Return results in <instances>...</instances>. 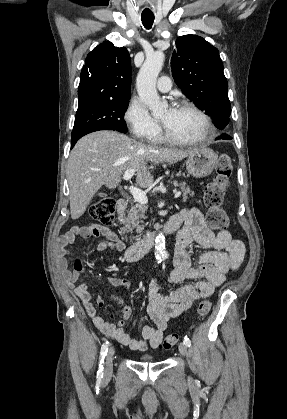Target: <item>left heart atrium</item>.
Returning a JSON list of instances; mask_svg holds the SVG:
<instances>
[{
  "instance_id": "39dd6f15",
  "label": "left heart atrium",
  "mask_w": 287,
  "mask_h": 419,
  "mask_svg": "<svg viewBox=\"0 0 287 419\" xmlns=\"http://www.w3.org/2000/svg\"><path fill=\"white\" fill-rule=\"evenodd\" d=\"M175 109H176V108H171V109L169 110V113H170V114H172V113L175 111Z\"/></svg>"
}]
</instances>
